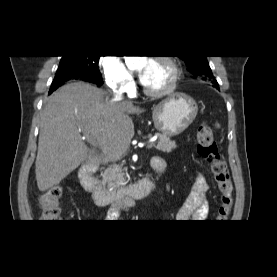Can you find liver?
<instances>
[{
  "label": "liver",
  "instance_id": "1",
  "mask_svg": "<svg viewBox=\"0 0 277 277\" xmlns=\"http://www.w3.org/2000/svg\"><path fill=\"white\" fill-rule=\"evenodd\" d=\"M143 111L131 101L107 98L89 83L62 86L41 113L35 162L38 189L43 192L59 184L87 159L98 164L119 159L134 136L129 115ZM81 132L96 141L100 153L86 146Z\"/></svg>",
  "mask_w": 277,
  "mask_h": 277
}]
</instances>
